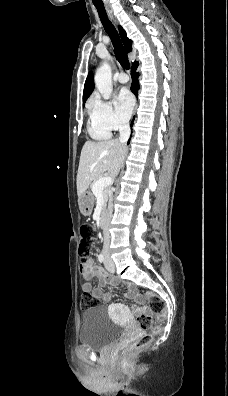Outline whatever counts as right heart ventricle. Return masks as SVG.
Segmentation results:
<instances>
[{
  "label": "right heart ventricle",
  "mask_w": 228,
  "mask_h": 396,
  "mask_svg": "<svg viewBox=\"0 0 228 396\" xmlns=\"http://www.w3.org/2000/svg\"><path fill=\"white\" fill-rule=\"evenodd\" d=\"M88 131L91 137L96 140H105L110 137V132L101 127L92 117H90Z\"/></svg>",
  "instance_id": "e07e8e85"
}]
</instances>
